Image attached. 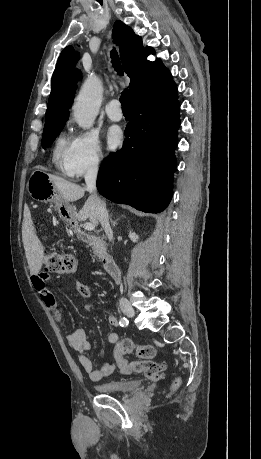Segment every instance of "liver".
Instances as JSON below:
<instances>
[{
	"label": "liver",
	"instance_id": "obj_1",
	"mask_svg": "<svg viewBox=\"0 0 261 459\" xmlns=\"http://www.w3.org/2000/svg\"><path fill=\"white\" fill-rule=\"evenodd\" d=\"M48 176L65 202H74L84 196L86 191L85 188L52 174H48ZM76 218L79 221L88 219L94 225L98 224V218L91 196L86 200L83 208L76 215ZM23 243L30 274L36 275L41 270L43 264L44 248L37 236L33 233L31 225H29L25 231Z\"/></svg>",
	"mask_w": 261,
	"mask_h": 459
}]
</instances>
